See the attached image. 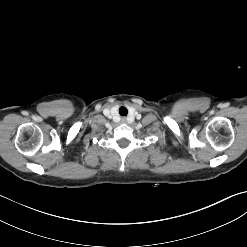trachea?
Segmentation results:
<instances>
[{"instance_id":"3493384b","label":"trachea","mask_w":247,"mask_h":247,"mask_svg":"<svg viewBox=\"0 0 247 247\" xmlns=\"http://www.w3.org/2000/svg\"><path fill=\"white\" fill-rule=\"evenodd\" d=\"M119 113H120V115H122V116H126L127 113H128V110H127L126 107L122 106V107L119 108Z\"/></svg>"}]
</instances>
